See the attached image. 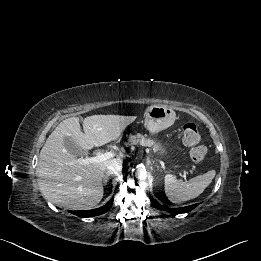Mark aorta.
Masks as SVG:
<instances>
[{"label": "aorta", "instance_id": "1", "mask_svg": "<svg viewBox=\"0 0 261 261\" xmlns=\"http://www.w3.org/2000/svg\"><path fill=\"white\" fill-rule=\"evenodd\" d=\"M135 175L138 179L143 180L146 178V170L142 166H137L135 169Z\"/></svg>", "mask_w": 261, "mask_h": 261}]
</instances>
